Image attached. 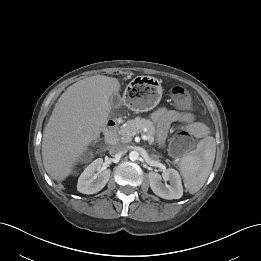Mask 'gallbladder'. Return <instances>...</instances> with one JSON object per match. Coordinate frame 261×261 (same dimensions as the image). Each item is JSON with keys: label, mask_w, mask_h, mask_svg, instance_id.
I'll return each instance as SVG.
<instances>
[{"label": "gallbladder", "mask_w": 261, "mask_h": 261, "mask_svg": "<svg viewBox=\"0 0 261 261\" xmlns=\"http://www.w3.org/2000/svg\"><path fill=\"white\" fill-rule=\"evenodd\" d=\"M110 104L112 107L114 108H117L120 106L121 104V97L119 94H113L111 97H110Z\"/></svg>", "instance_id": "gallbladder-1"}]
</instances>
